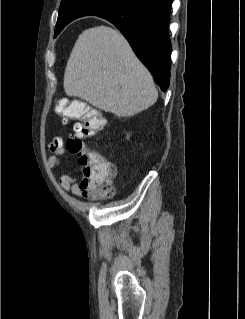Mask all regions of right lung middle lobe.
<instances>
[{
    "mask_svg": "<svg viewBox=\"0 0 245 319\" xmlns=\"http://www.w3.org/2000/svg\"><path fill=\"white\" fill-rule=\"evenodd\" d=\"M125 0H83L79 2L80 6L85 10L89 11V15H97L105 10L113 8ZM63 5L60 6L61 11ZM63 28H55V34H58Z\"/></svg>",
    "mask_w": 245,
    "mask_h": 319,
    "instance_id": "right-lung-middle-lobe-1",
    "label": "right lung middle lobe"
}]
</instances>
